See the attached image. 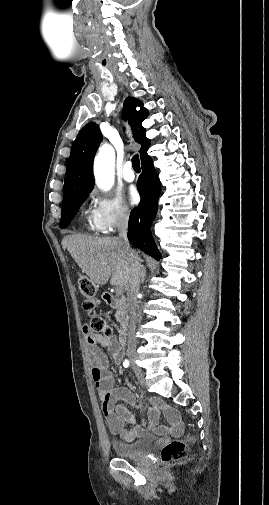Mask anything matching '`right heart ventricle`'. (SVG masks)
<instances>
[{"label": "right heart ventricle", "instance_id": "obj_1", "mask_svg": "<svg viewBox=\"0 0 269 505\" xmlns=\"http://www.w3.org/2000/svg\"><path fill=\"white\" fill-rule=\"evenodd\" d=\"M88 225H89L90 227L94 228V227H93V224H92V221H91V217H89V218H88Z\"/></svg>", "mask_w": 269, "mask_h": 505}]
</instances>
